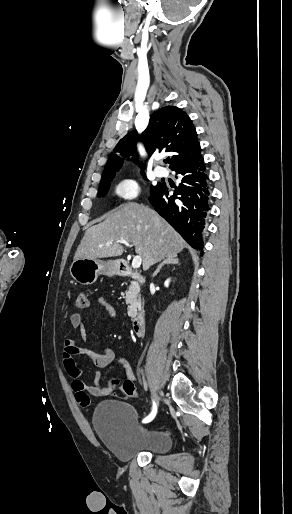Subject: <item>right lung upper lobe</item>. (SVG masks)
<instances>
[{"label":"right lung upper lobe","instance_id":"cb5924a9","mask_svg":"<svg viewBox=\"0 0 292 514\" xmlns=\"http://www.w3.org/2000/svg\"><path fill=\"white\" fill-rule=\"evenodd\" d=\"M138 138L137 131L134 130L118 142L113 150L115 153L109 156L101 181L114 178L115 173L122 167L123 158L137 154ZM140 138L149 154L162 151L171 155V170L201 154L192 120L182 109L175 106H166L155 111ZM132 161L144 167L138 158L132 157Z\"/></svg>","mask_w":292,"mask_h":514}]
</instances>
